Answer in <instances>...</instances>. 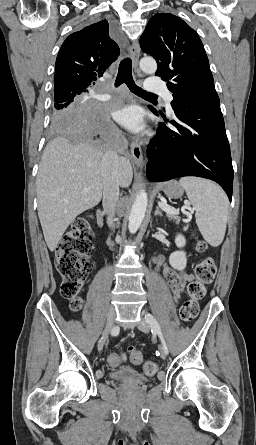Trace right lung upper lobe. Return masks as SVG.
<instances>
[{
    "mask_svg": "<svg viewBox=\"0 0 256 445\" xmlns=\"http://www.w3.org/2000/svg\"><path fill=\"white\" fill-rule=\"evenodd\" d=\"M119 53L106 20L72 33L63 42L56 59L54 95L88 93Z\"/></svg>",
    "mask_w": 256,
    "mask_h": 445,
    "instance_id": "cb5924a9",
    "label": "right lung upper lobe"
}]
</instances>
